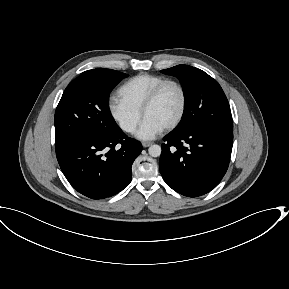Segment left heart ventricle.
Wrapping results in <instances>:
<instances>
[{"label": "left heart ventricle", "mask_w": 289, "mask_h": 289, "mask_svg": "<svg viewBox=\"0 0 289 289\" xmlns=\"http://www.w3.org/2000/svg\"><path fill=\"white\" fill-rule=\"evenodd\" d=\"M180 107V91L175 85L170 84L163 88L144 118L151 119L164 128L177 117Z\"/></svg>", "instance_id": "obj_1"}]
</instances>
